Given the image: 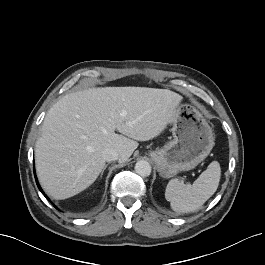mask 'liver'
<instances>
[{"label":"liver","mask_w":265,"mask_h":265,"mask_svg":"<svg viewBox=\"0 0 265 265\" xmlns=\"http://www.w3.org/2000/svg\"><path fill=\"white\" fill-rule=\"evenodd\" d=\"M181 101L173 91L147 87L90 88L65 95L47 112L35 145L42 188L58 200L85 190L105 167L106 149L127 161L137 141L164 131Z\"/></svg>","instance_id":"1"}]
</instances>
